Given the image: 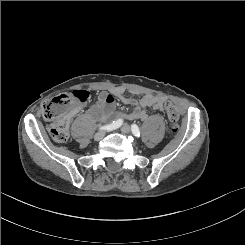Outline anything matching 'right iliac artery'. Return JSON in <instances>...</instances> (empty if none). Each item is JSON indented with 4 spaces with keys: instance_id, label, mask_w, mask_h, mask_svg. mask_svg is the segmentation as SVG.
Returning a JSON list of instances; mask_svg holds the SVG:
<instances>
[{
    "instance_id": "1",
    "label": "right iliac artery",
    "mask_w": 245,
    "mask_h": 245,
    "mask_svg": "<svg viewBox=\"0 0 245 245\" xmlns=\"http://www.w3.org/2000/svg\"><path fill=\"white\" fill-rule=\"evenodd\" d=\"M123 124L122 119H118L116 121H113L111 124L104 125L99 128V130H114L118 127H120Z\"/></svg>"
}]
</instances>
